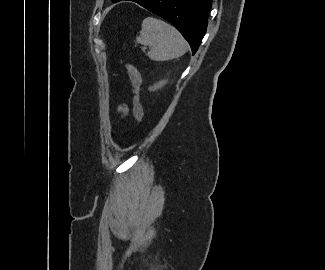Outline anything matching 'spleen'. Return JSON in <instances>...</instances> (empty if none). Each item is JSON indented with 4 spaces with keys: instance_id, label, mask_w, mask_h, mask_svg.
<instances>
[{
    "instance_id": "1",
    "label": "spleen",
    "mask_w": 325,
    "mask_h": 270,
    "mask_svg": "<svg viewBox=\"0 0 325 270\" xmlns=\"http://www.w3.org/2000/svg\"><path fill=\"white\" fill-rule=\"evenodd\" d=\"M136 42L149 45L148 57L154 61L175 59L187 51V43L179 31L154 17H147L143 20Z\"/></svg>"
}]
</instances>
